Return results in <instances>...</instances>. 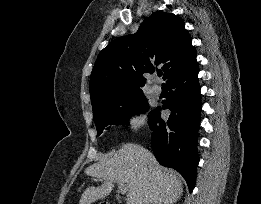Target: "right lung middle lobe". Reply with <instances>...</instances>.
Returning a JSON list of instances; mask_svg holds the SVG:
<instances>
[{
  "instance_id": "right-lung-middle-lobe-1",
  "label": "right lung middle lobe",
  "mask_w": 261,
  "mask_h": 204,
  "mask_svg": "<svg viewBox=\"0 0 261 204\" xmlns=\"http://www.w3.org/2000/svg\"><path fill=\"white\" fill-rule=\"evenodd\" d=\"M92 108L97 133L100 135L108 125L128 124L131 115L146 111L148 107L142 90H138L123 94L113 102Z\"/></svg>"
}]
</instances>
